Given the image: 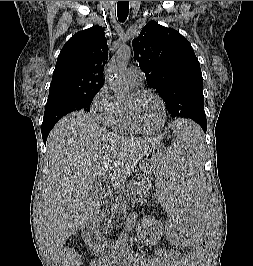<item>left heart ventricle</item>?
Here are the masks:
<instances>
[{
    "mask_svg": "<svg viewBox=\"0 0 253 266\" xmlns=\"http://www.w3.org/2000/svg\"><path fill=\"white\" fill-rule=\"evenodd\" d=\"M133 106L141 127L152 129L159 126L162 121V108L156 97L142 96L133 102Z\"/></svg>",
    "mask_w": 253,
    "mask_h": 266,
    "instance_id": "obj_1",
    "label": "left heart ventricle"
}]
</instances>
